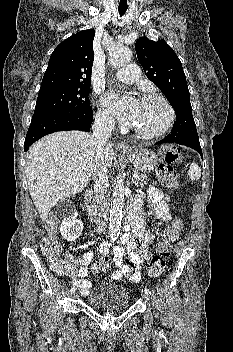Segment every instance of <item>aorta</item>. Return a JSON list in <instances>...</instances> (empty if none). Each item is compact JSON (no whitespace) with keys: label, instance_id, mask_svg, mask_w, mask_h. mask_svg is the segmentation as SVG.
<instances>
[{"label":"aorta","instance_id":"aorta-1","mask_svg":"<svg viewBox=\"0 0 233 352\" xmlns=\"http://www.w3.org/2000/svg\"><path fill=\"white\" fill-rule=\"evenodd\" d=\"M132 52L126 47H117L110 52L112 66L120 67L131 60ZM125 186L124 179L119 175L113 186L110 209L109 237L115 240L120 233L122 209L124 206Z\"/></svg>","mask_w":233,"mask_h":352}]
</instances>
